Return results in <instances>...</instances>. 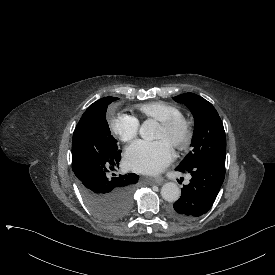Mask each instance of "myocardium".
<instances>
[{"label": "myocardium", "instance_id": "myocardium-1", "mask_svg": "<svg viewBox=\"0 0 275 275\" xmlns=\"http://www.w3.org/2000/svg\"><path fill=\"white\" fill-rule=\"evenodd\" d=\"M161 127L166 133L167 139L178 149L186 148L192 138L190 122L182 117H175L168 121L161 122Z\"/></svg>", "mask_w": 275, "mask_h": 275}]
</instances>
